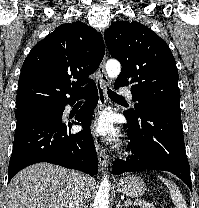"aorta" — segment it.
Instances as JSON below:
<instances>
[{"mask_svg":"<svg viewBox=\"0 0 199 208\" xmlns=\"http://www.w3.org/2000/svg\"><path fill=\"white\" fill-rule=\"evenodd\" d=\"M121 65L117 60H109L106 63V72L108 77L116 78L120 74ZM109 191H110V183L107 178V175L103 177L98 191L96 193L93 208H109Z\"/></svg>","mask_w":199,"mask_h":208,"instance_id":"aorta-1","label":"aorta"}]
</instances>
